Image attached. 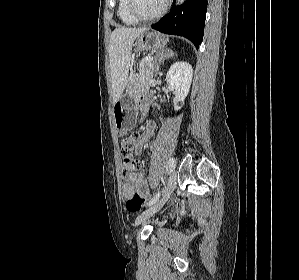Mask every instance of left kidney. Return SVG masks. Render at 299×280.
Instances as JSON below:
<instances>
[{
	"label": "left kidney",
	"mask_w": 299,
	"mask_h": 280,
	"mask_svg": "<svg viewBox=\"0 0 299 280\" xmlns=\"http://www.w3.org/2000/svg\"><path fill=\"white\" fill-rule=\"evenodd\" d=\"M192 75V66L184 61L174 63L166 75L168 85L172 87L175 92V97L173 99L175 110H178L183 106V101L190 90Z\"/></svg>",
	"instance_id": "left-kidney-1"
}]
</instances>
